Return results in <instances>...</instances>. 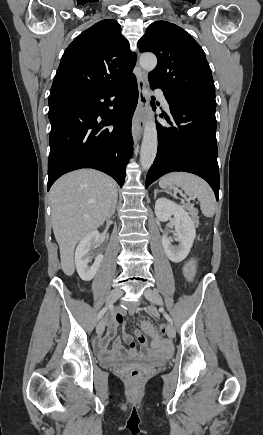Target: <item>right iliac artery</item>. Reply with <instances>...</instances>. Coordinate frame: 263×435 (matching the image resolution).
<instances>
[{"label": "right iliac artery", "instance_id": "82829eb1", "mask_svg": "<svg viewBox=\"0 0 263 435\" xmlns=\"http://www.w3.org/2000/svg\"><path fill=\"white\" fill-rule=\"evenodd\" d=\"M109 307H110V305L104 307V308L99 312V314H98V316H97V319H98V320H100L101 317H102V316L107 312V310H108Z\"/></svg>", "mask_w": 263, "mask_h": 435}]
</instances>
